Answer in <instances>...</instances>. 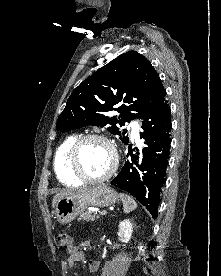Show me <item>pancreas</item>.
<instances>
[{
	"mask_svg": "<svg viewBox=\"0 0 221 276\" xmlns=\"http://www.w3.org/2000/svg\"><path fill=\"white\" fill-rule=\"evenodd\" d=\"M95 218H99V216L93 214V213L90 212V211H87V212L82 213V214L80 215L79 220H84V221H90V220H91V221H93V220H95Z\"/></svg>",
	"mask_w": 221,
	"mask_h": 276,
	"instance_id": "obj_1",
	"label": "pancreas"
}]
</instances>
